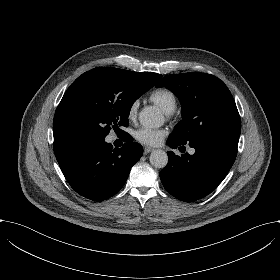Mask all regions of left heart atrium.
<instances>
[{
    "label": "left heart atrium",
    "instance_id": "39dd6f15",
    "mask_svg": "<svg viewBox=\"0 0 280 280\" xmlns=\"http://www.w3.org/2000/svg\"><path fill=\"white\" fill-rule=\"evenodd\" d=\"M133 135L135 140L140 144L154 146L162 140L165 135V131L162 129L142 127L135 130Z\"/></svg>",
    "mask_w": 280,
    "mask_h": 280
}]
</instances>
